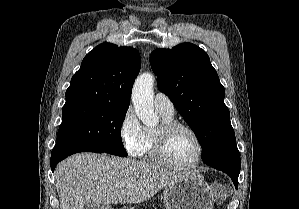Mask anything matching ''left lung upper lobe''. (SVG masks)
I'll return each instance as SVG.
<instances>
[{
	"label": "left lung upper lobe",
	"mask_w": 299,
	"mask_h": 209,
	"mask_svg": "<svg viewBox=\"0 0 299 209\" xmlns=\"http://www.w3.org/2000/svg\"><path fill=\"white\" fill-rule=\"evenodd\" d=\"M158 89L165 93L194 131L209 160L235 138L230 113L224 103L225 89L207 53L192 43L172 49H156L150 55Z\"/></svg>",
	"instance_id": "5c2ea615"
}]
</instances>
